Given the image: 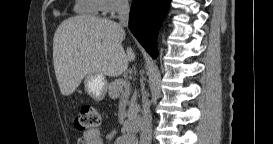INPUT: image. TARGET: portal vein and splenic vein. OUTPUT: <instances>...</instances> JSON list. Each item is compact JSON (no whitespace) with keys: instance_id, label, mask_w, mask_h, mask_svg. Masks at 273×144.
<instances>
[{"instance_id":"18ae733b","label":"portal vein and splenic vein","mask_w":273,"mask_h":144,"mask_svg":"<svg viewBox=\"0 0 273 144\" xmlns=\"http://www.w3.org/2000/svg\"><path fill=\"white\" fill-rule=\"evenodd\" d=\"M129 89H130V83L127 82V90L129 91Z\"/></svg>"}]
</instances>
